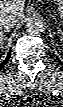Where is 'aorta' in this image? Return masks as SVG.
<instances>
[{"mask_svg": "<svg viewBox=\"0 0 63 107\" xmlns=\"http://www.w3.org/2000/svg\"><path fill=\"white\" fill-rule=\"evenodd\" d=\"M44 29V22L39 18H30L26 23V32L30 35H40Z\"/></svg>", "mask_w": 63, "mask_h": 107, "instance_id": "1", "label": "aorta"}]
</instances>
